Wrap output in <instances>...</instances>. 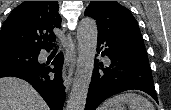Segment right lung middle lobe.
I'll return each instance as SVG.
<instances>
[{"instance_id":"dd1d6c3e","label":"right lung middle lobe","mask_w":171,"mask_h":110,"mask_svg":"<svg viewBox=\"0 0 171 110\" xmlns=\"http://www.w3.org/2000/svg\"><path fill=\"white\" fill-rule=\"evenodd\" d=\"M38 51L21 48L0 49V71L39 64Z\"/></svg>"}]
</instances>
